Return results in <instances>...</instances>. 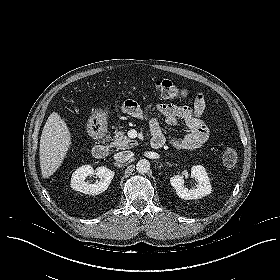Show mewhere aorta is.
<instances>
[{
  "label": "aorta",
  "instance_id": "obj_1",
  "mask_svg": "<svg viewBox=\"0 0 280 280\" xmlns=\"http://www.w3.org/2000/svg\"><path fill=\"white\" fill-rule=\"evenodd\" d=\"M136 169L139 173H147L150 169V162L146 159H140L137 162Z\"/></svg>",
  "mask_w": 280,
  "mask_h": 280
}]
</instances>
